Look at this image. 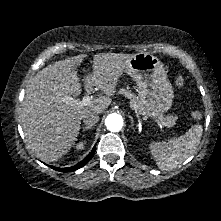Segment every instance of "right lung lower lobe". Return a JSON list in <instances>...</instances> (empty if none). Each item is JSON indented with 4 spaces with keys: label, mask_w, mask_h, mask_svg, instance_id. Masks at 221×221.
<instances>
[{
    "label": "right lung lower lobe",
    "mask_w": 221,
    "mask_h": 221,
    "mask_svg": "<svg viewBox=\"0 0 221 221\" xmlns=\"http://www.w3.org/2000/svg\"><path fill=\"white\" fill-rule=\"evenodd\" d=\"M95 149L96 147L94 146V148L92 149V151L89 153V155L87 157H85L81 162H79L78 164L69 167V168H58V167H52L54 170L60 171V172H71V171H75L81 167H83L85 164H87L90 159L93 157L94 153H95Z\"/></svg>",
    "instance_id": "obj_1"
}]
</instances>
